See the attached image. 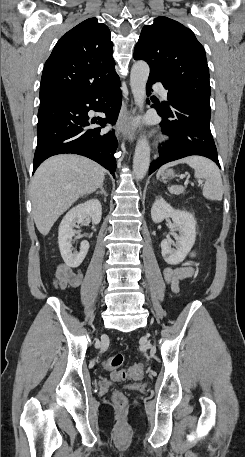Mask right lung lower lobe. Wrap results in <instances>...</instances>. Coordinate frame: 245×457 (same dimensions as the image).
<instances>
[{
    "instance_id": "1",
    "label": "right lung lower lobe",
    "mask_w": 245,
    "mask_h": 457,
    "mask_svg": "<svg viewBox=\"0 0 245 457\" xmlns=\"http://www.w3.org/2000/svg\"><path fill=\"white\" fill-rule=\"evenodd\" d=\"M119 86L117 76L87 91L41 104L33 172L50 156L73 153L93 159L114 175V153L118 145L114 130L104 132L91 125L96 123L104 127L107 123L115 124L122 100ZM91 109L103 112L105 118L90 119L88 111Z\"/></svg>"
}]
</instances>
